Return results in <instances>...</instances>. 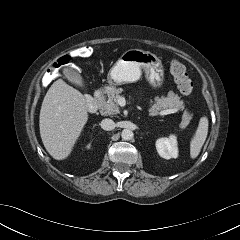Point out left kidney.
<instances>
[{
  "mask_svg": "<svg viewBox=\"0 0 240 240\" xmlns=\"http://www.w3.org/2000/svg\"><path fill=\"white\" fill-rule=\"evenodd\" d=\"M156 149L162 158H176L178 156L176 137L174 135H170L168 138L157 139Z\"/></svg>",
  "mask_w": 240,
  "mask_h": 240,
  "instance_id": "1",
  "label": "left kidney"
}]
</instances>
